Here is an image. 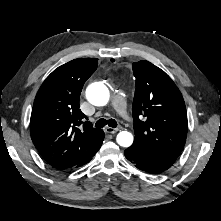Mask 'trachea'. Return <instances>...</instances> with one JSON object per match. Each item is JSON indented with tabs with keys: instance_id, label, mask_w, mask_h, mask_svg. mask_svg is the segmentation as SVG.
Returning a JSON list of instances; mask_svg holds the SVG:
<instances>
[{
	"instance_id": "trachea-1",
	"label": "trachea",
	"mask_w": 221,
	"mask_h": 221,
	"mask_svg": "<svg viewBox=\"0 0 221 221\" xmlns=\"http://www.w3.org/2000/svg\"><path fill=\"white\" fill-rule=\"evenodd\" d=\"M106 125H108L109 127H112V128H116L117 122L114 119L106 120V119L102 118L96 122L95 127L102 128Z\"/></svg>"
}]
</instances>
